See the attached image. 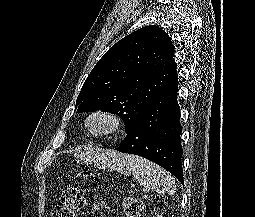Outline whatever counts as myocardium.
Returning <instances> with one entry per match:
<instances>
[{
    "mask_svg": "<svg viewBox=\"0 0 255 217\" xmlns=\"http://www.w3.org/2000/svg\"><path fill=\"white\" fill-rule=\"evenodd\" d=\"M102 119L106 122V126L100 129H93L90 122L93 119ZM122 116L114 110L108 108H98L90 111L84 119L85 130L95 138L110 137L120 132L123 127Z\"/></svg>",
    "mask_w": 255,
    "mask_h": 217,
    "instance_id": "1",
    "label": "myocardium"
}]
</instances>
